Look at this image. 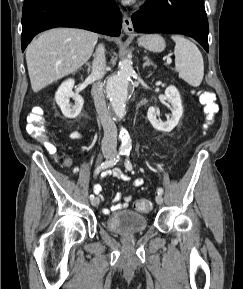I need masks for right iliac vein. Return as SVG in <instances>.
Listing matches in <instances>:
<instances>
[{
    "mask_svg": "<svg viewBox=\"0 0 243 289\" xmlns=\"http://www.w3.org/2000/svg\"><path fill=\"white\" fill-rule=\"evenodd\" d=\"M104 156H105L106 158H111L112 155H111V153L106 152V153H104ZM99 203H100L99 197H94L93 199H91V204H92L93 206H98Z\"/></svg>",
    "mask_w": 243,
    "mask_h": 289,
    "instance_id": "obj_1",
    "label": "right iliac vein"
}]
</instances>
